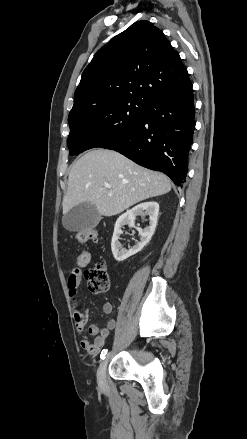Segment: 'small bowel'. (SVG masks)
<instances>
[{
    "mask_svg": "<svg viewBox=\"0 0 247 439\" xmlns=\"http://www.w3.org/2000/svg\"><path fill=\"white\" fill-rule=\"evenodd\" d=\"M82 279V271L79 268H74L68 278V294L71 300L73 309L74 322L78 333L82 334L88 323V312L86 309H82L78 301V289ZM103 313L109 315L113 311V305L111 302H105L102 306ZM115 326L114 320H111L107 327L100 328L96 324H92L88 328L90 336L94 337L90 340L87 336L82 337L80 341L81 347L92 355L98 354L100 349L104 346L110 331Z\"/></svg>",
    "mask_w": 247,
    "mask_h": 439,
    "instance_id": "1",
    "label": "small bowel"
}]
</instances>
